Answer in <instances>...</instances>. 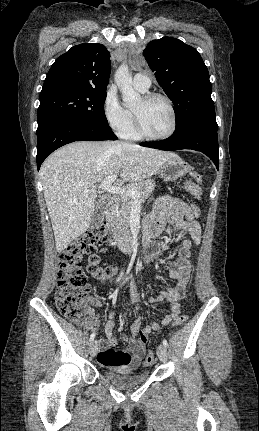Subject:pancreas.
<instances>
[{
  "label": "pancreas",
  "mask_w": 259,
  "mask_h": 431,
  "mask_svg": "<svg viewBox=\"0 0 259 431\" xmlns=\"http://www.w3.org/2000/svg\"><path fill=\"white\" fill-rule=\"evenodd\" d=\"M154 188L155 181L151 179L135 182L128 186V189L139 192V196L136 198L139 203H143L152 194ZM134 200L130 196L121 195L110 214L111 227L119 235L130 233L129 220Z\"/></svg>",
  "instance_id": "cf45deb5"
}]
</instances>
